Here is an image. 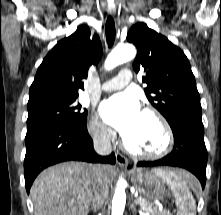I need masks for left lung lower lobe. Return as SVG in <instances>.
I'll return each instance as SVG.
<instances>
[{
    "mask_svg": "<svg viewBox=\"0 0 221 215\" xmlns=\"http://www.w3.org/2000/svg\"><path fill=\"white\" fill-rule=\"evenodd\" d=\"M174 135L173 151L164 158L150 162H139L137 166H174L192 172L206 183L207 150L204 143V126L200 116L179 113L170 125Z\"/></svg>",
    "mask_w": 221,
    "mask_h": 215,
    "instance_id": "left-lung-lower-lobe-1",
    "label": "left lung lower lobe"
}]
</instances>
